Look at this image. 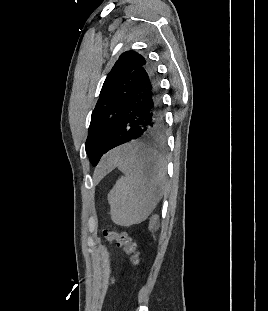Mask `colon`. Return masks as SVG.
I'll return each mask as SVG.
<instances>
[{"label":"colon","instance_id":"5ec220e1","mask_svg":"<svg viewBox=\"0 0 268 311\" xmlns=\"http://www.w3.org/2000/svg\"><path fill=\"white\" fill-rule=\"evenodd\" d=\"M103 236L107 241L115 243L117 247L122 248L127 254H129L134 265H140V252L136 243L127 233L104 230Z\"/></svg>","mask_w":268,"mask_h":311}]
</instances>
